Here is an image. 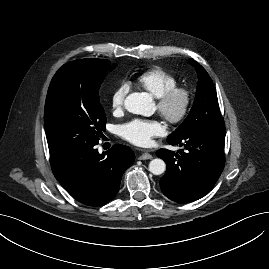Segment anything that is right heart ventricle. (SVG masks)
I'll return each instance as SVG.
<instances>
[{
	"label": "right heart ventricle",
	"mask_w": 269,
	"mask_h": 269,
	"mask_svg": "<svg viewBox=\"0 0 269 269\" xmlns=\"http://www.w3.org/2000/svg\"><path fill=\"white\" fill-rule=\"evenodd\" d=\"M138 85L152 96L159 97L167 90L178 85L177 78L170 72L155 68L143 72L137 78Z\"/></svg>",
	"instance_id": "e07e8e85"
}]
</instances>
